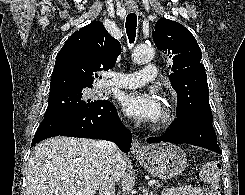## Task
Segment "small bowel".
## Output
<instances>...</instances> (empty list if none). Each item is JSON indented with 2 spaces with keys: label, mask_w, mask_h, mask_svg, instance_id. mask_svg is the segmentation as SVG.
I'll use <instances>...</instances> for the list:
<instances>
[{
  "label": "small bowel",
  "mask_w": 245,
  "mask_h": 195,
  "mask_svg": "<svg viewBox=\"0 0 245 195\" xmlns=\"http://www.w3.org/2000/svg\"><path fill=\"white\" fill-rule=\"evenodd\" d=\"M162 195H205V191L201 187L183 186L167 189Z\"/></svg>",
  "instance_id": "1"
}]
</instances>
